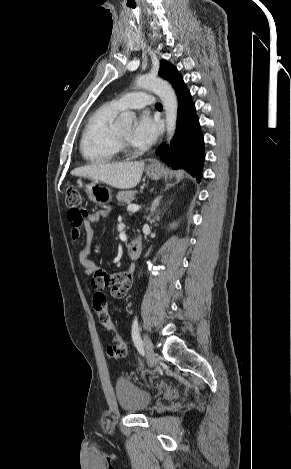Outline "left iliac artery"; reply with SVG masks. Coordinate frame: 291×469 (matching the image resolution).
<instances>
[{
  "label": "left iliac artery",
  "instance_id": "left-iliac-artery-1",
  "mask_svg": "<svg viewBox=\"0 0 291 469\" xmlns=\"http://www.w3.org/2000/svg\"><path fill=\"white\" fill-rule=\"evenodd\" d=\"M132 339L133 342L139 351L141 355H144V349H143V342L141 340L140 334H139V325H138V319L137 316H135L132 324Z\"/></svg>",
  "mask_w": 291,
  "mask_h": 469
}]
</instances>
